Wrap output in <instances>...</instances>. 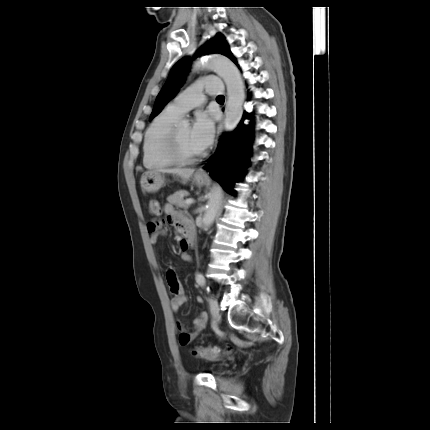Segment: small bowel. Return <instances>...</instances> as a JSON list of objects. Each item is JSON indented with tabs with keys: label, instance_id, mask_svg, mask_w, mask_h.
<instances>
[{
	"label": "small bowel",
	"instance_id": "obj_1",
	"mask_svg": "<svg viewBox=\"0 0 430 430\" xmlns=\"http://www.w3.org/2000/svg\"><path fill=\"white\" fill-rule=\"evenodd\" d=\"M163 209L164 213L166 214V219L152 220L147 225L149 240L152 245H156L160 236L165 234V223L172 224L185 238L188 234L193 233L191 222L183 214L176 211L173 205L165 204ZM181 249L183 251V260L191 261L190 257L185 253L187 247L184 243V239L181 241ZM167 279L168 285L173 295L171 299V308L174 312H177L183 305L187 303L188 299L182 285L177 280L173 271H169ZM197 301L201 302L202 299L198 298ZM207 319V314L201 313L197 318H195L194 328L192 331H187L181 322H177V328L180 332L178 338L179 344L181 346H189L193 340L204 330Z\"/></svg>",
	"mask_w": 430,
	"mask_h": 430
}]
</instances>
